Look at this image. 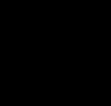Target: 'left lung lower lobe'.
<instances>
[{
    "instance_id": "left-lung-lower-lobe-1",
    "label": "left lung lower lobe",
    "mask_w": 111,
    "mask_h": 106,
    "mask_svg": "<svg viewBox=\"0 0 111 106\" xmlns=\"http://www.w3.org/2000/svg\"><path fill=\"white\" fill-rule=\"evenodd\" d=\"M65 19L79 53L97 68L111 70V0H70Z\"/></svg>"
}]
</instances>
